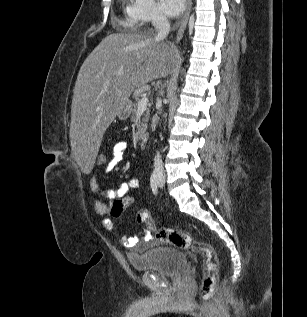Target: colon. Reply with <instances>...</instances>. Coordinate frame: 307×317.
I'll use <instances>...</instances> for the list:
<instances>
[{
	"label": "colon",
	"mask_w": 307,
	"mask_h": 317,
	"mask_svg": "<svg viewBox=\"0 0 307 317\" xmlns=\"http://www.w3.org/2000/svg\"><path fill=\"white\" fill-rule=\"evenodd\" d=\"M99 167H105L108 159L105 153L99 152L96 161ZM134 203L132 197L116 199L111 207V215L119 217L125 208ZM136 220L144 224L147 230L154 232L155 238L163 243L170 244L179 249H192L200 253L204 258V276L201 284V295H208L212 289L217 276L218 262L213 248L210 245L201 242H195L185 231L175 228H157L149 212L145 209H139L136 213Z\"/></svg>",
	"instance_id": "colon-1"
}]
</instances>
